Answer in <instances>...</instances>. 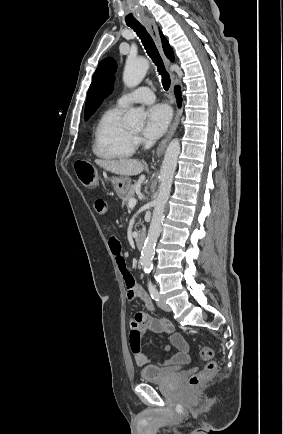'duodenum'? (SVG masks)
<instances>
[{"label": "duodenum", "mask_w": 283, "mask_h": 434, "mask_svg": "<svg viewBox=\"0 0 283 434\" xmlns=\"http://www.w3.org/2000/svg\"><path fill=\"white\" fill-rule=\"evenodd\" d=\"M146 235L143 231H140L136 237V246L138 249H143L145 244Z\"/></svg>", "instance_id": "410a0bca"}]
</instances>
